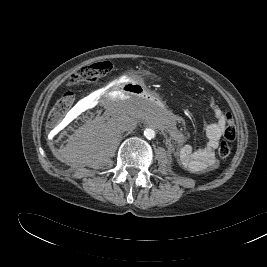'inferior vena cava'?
I'll return each mask as SVG.
<instances>
[{
  "label": "inferior vena cava",
  "instance_id": "inferior-vena-cava-1",
  "mask_svg": "<svg viewBox=\"0 0 267 267\" xmlns=\"http://www.w3.org/2000/svg\"><path fill=\"white\" fill-rule=\"evenodd\" d=\"M117 129L131 133L136 128V121L126 115H121L116 120Z\"/></svg>",
  "mask_w": 267,
  "mask_h": 267
}]
</instances>
